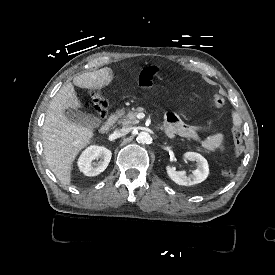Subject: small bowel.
I'll use <instances>...</instances> for the list:
<instances>
[{"label":"small bowel","mask_w":275,"mask_h":275,"mask_svg":"<svg viewBox=\"0 0 275 275\" xmlns=\"http://www.w3.org/2000/svg\"><path fill=\"white\" fill-rule=\"evenodd\" d=\"M163 73L162 67L150 64L142 68L137 78V84L143 90L148 91L152 87V79L162 76ZM229 115L233 124L238 127L241 124L239 114L236 111H231ZM209 128V125L187 124L175 113H169L166 117L165 132L169 137L179 135L198 142L207 151L223 153L224 137L221 133L213 134L202 141L199 139L198 133Z\"/></svg>","instance_id":"c3829d8e"}]
</instances>
